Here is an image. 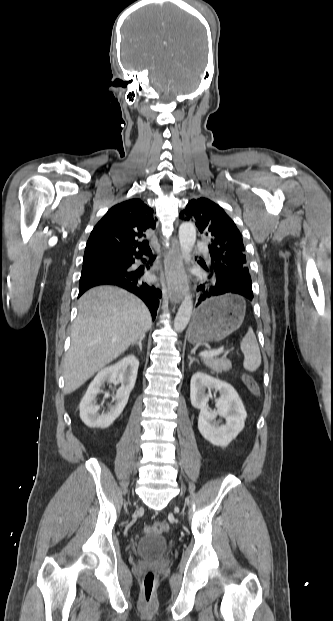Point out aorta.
<instances>
[{
	"label": "aorta",
	"mask_w": 333,
	"mask_h": 621,
	"mask_svg": "<svg viewBox=\"0 0 333 621\" xmlns=\"http://www.w3.org/2000/svg\"><path fill=\"white\" fill-rule=\"evenodd\" d=\"M195 241H196L195 225L190 222L182 223L179 227V242H180L181 252L183 256L185 257L186 261L190 260L191 252L195 245ZM192 310H193V300H192V296L188 294L187 296H185L184 300L182 301L178 309V312L176 314L175 320H174V330L176 332H182L186 328L190 320Z\"/></svg>",
	"instance_id": "obj_1"
}]
</instances>
